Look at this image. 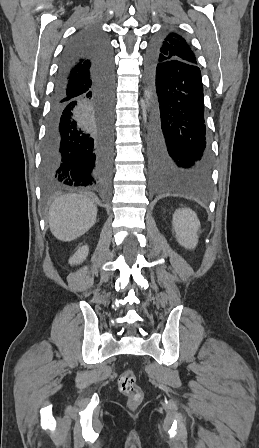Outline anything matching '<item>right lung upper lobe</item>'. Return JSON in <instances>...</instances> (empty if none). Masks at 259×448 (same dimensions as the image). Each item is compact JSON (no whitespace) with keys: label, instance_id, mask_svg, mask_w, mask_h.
I'll return each instance as SVG.
<instances>
[{"label":"right lung upper lobe","instance_id":"obj_1","mask_svg":"<svg viewBox=\"0 0 259 448\" xmlns=\"http://www.w3.org/2000/svg\"><path fill=\"white\" fill-rule=\"evenodd\" d=\"M91 83L90 68L87 63H79L75 66L69 76L68 85L70 89H83L87 88Z\"/></svg>","mask_w":259,"mask_h":448}]
</instances>
